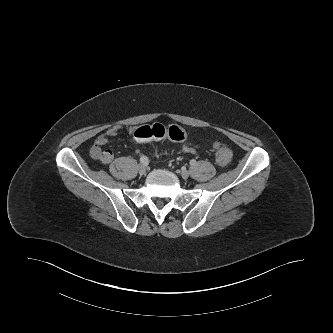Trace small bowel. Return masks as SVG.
<instances>
[{"label":"small bowel","mask_w":333,"mask_h":333,"mask_svg":"<svg viewBox=\"0 0 333 333\" xmlns=\"http://www.w3.org/2000/svg\"><path fill=\"white\" fill-rule=\"evenodd\" d=\"M119 130L120 129L118 127L114 126L98 135L90 149V156L104 164L111 163L114 159V154L109 149H103V146L107 144L110 139L115 137L119 133ZM126 131L129 134H133L135 132V128L128 127L126 128ZM181 151L184 153L195 154L197 152V147L189 142H185L182 145Z\"/></svg>","instance_id":"small-bowel-1"}]
</instances>
